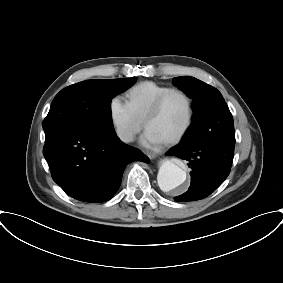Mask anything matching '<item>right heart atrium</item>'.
<instances>
[{"label":"right heart atrium","instance_id":"right-heart-atrium-1","mask_svg":"<svg viewBox=\"0 0 283 283\" xmlns=\"http://www.w3.org/2000/svg\"><path fill=\"white\" fill-rule=\"evenodd\" d=\"M108 113L117 137L125 143L132 142L142 128V122L134 116L127 103L117 96L113 97Z\"/></svg>","mask_w":283,"mask_h":283}]
</instances>
